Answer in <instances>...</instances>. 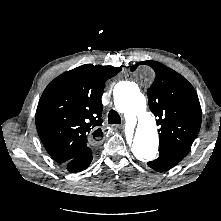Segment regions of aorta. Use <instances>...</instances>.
Masks as SVG:
<instances>
[{
	"mask_svg": "<svg viewBox=\"0 0 221 221\" xmlns=\"http://www.w3.org/2000/svg\"><path fill=\"white\" fill-rule=\"evenodd\" d=\"M114 104L119 113L135 121L137 126L132 143V153L140 161L155 158L159 146V137L155 118L146 112V99L132 82H123L114 91Z\"/></svg>",
	"mask_w": 221,
	"mask_h": 221,
	"instance_id": "aorta-1",
	"label": "aorta"
}]
</instances>
